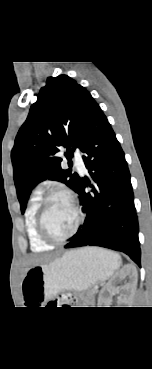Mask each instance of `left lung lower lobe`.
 Instances as JSON below:
<instances>
[{
  "label": "left lung lower lobe",
  "mask_w": 152,
  "mask_h": 369,
  "mask_svg": "<svg viewBox=\"0 0 152 369\" xmlns=\"http://www.w3.org/2000/svg\"><path fill=\"white\" fill-rule=\"evenodd\" d=\"M90 179H80L84 224L65 248L101 246L127 254L140 266L139 226L125 154L98 107L80 148ZM91 188L89 192L85 188Z\"/></svg>",
  "instance_id": "obj_1"
}]
</instances>
